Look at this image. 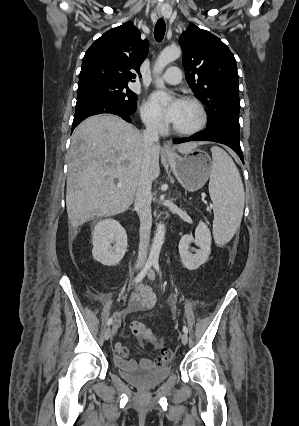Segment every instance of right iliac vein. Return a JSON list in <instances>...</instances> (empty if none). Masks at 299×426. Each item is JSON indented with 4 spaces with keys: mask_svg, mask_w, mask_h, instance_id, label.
<instances>
[{
    "mask_svg": "<svg viewBox=\"0 0 299 426\" xmlns=\"http://www.w3.org/2000/svg\"><path fill=\"white\" fill-rule=\"evenodd\" d=\"M112 336V329L108 327L104 332V338L108 340Z\"/></svg>",
    "mask_w": 299,
    "mask_h": 426,
    "instance_id": "63e3f726",
    "label": "right iliac vein"
}]
</instances>
